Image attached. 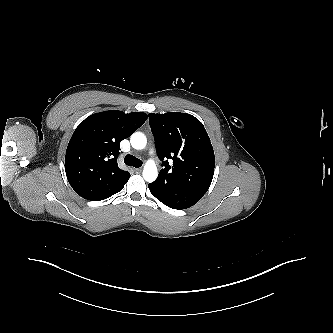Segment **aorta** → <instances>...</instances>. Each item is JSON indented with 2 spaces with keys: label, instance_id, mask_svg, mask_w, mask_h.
Masks as SVG:
<instances>
[{
  "label": "aorta",
  "instance_id": "1",
  "mask_svg": "<svg viewBox=\"0 0 333 333\" xmlns=\"http://www.w3.org/2000/svg\"><path fill=\"white\" fill-rule=\"evenodd\" d=\"M131 145L134 149L141 150L147 144L146 136L141 132H135L130 138ZM158 177V169L154 161L149 160L143 169V178L147 182H153Z\"/></svg>",
  "mask_w": 333,
  "mask_h": 333
}]
</instances>
